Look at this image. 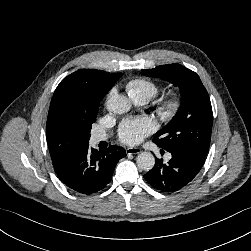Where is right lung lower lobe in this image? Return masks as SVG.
<instances>
[{
    "label": "right lung lower lobe",
    "mask_w": 251,
    "mask_h": 251,
    "mask_svg": "<svg viewBox=\"0 0 251 251\" xmlns=\"http://www.w3.org/2000/svg\"><path fill=\"white\" fill-rule=\"evenodd\" d=\"M125 156V150L119 146L112 145L97 151L86 144L55 169V172L73 191L90 195L107 186L117 162Z\"/></svg>",
    "instance_id": "1"
}]
</instances>
